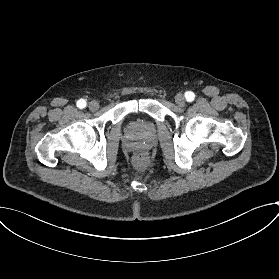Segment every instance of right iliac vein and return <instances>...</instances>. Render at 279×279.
<instances>
[{
    "instance_id": "obj_1",
    "label": "right iliac vein",
    "mask_w": 279,
    "mask_h": 279,
    "mask_svg": "<svg viewBox=\"0 0 279 279\" xmlns=\"http://www.w3.org/2000/svg\"><path fill=\"white\" fill-rule=\"evenodd\" d=\"M88 107L90 110L95 111L99 108V103L96 100L90 101Z\"/></svg>"
}]
</instances>
